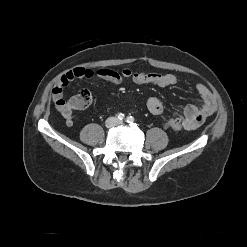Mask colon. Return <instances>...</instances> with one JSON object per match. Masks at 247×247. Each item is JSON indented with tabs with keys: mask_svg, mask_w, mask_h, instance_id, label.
Returning <instances> with one entry per match:
<instances>
[{
	"mask_svg": "<svg viewBox=\"0 0 247 247\" xmlns=\"http://www.w3.org/2000/svg\"><path fill=\"white\" fill-rule=\"evenodd\" d=\"M92 101L91 94L88 90H81L75 97L71 99V105L74 109H82L90 105ZM165 126L172 130H181L182 123L178 119H168Z\"/></svg>",
	"mask_w": 247,
	"mask_h": 247,
	"instance_id": "colon-1",
	"label": "colon"
}]
</instances>
